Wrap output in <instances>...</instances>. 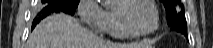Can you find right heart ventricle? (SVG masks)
<instances>
[{
  "label": "right heart ventricle",
  "instance_id": "obj_1",
  "mask_svg": "<svg viewBox=\"0 0 213 48\" xmlns=\"http://www.w3.org/2000/svg\"><path fill=\"white\" fill-rule=\"evenodd\" d=\"M109 22L107 26V33L113 38L117 39H129L132 36L128 35L121 27L115 9L108 12Z\"/></svg>",
  "mask_w": 213,
  "mask_h": 48
}]
</instances>
